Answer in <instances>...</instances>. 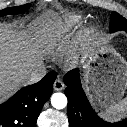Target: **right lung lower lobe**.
I'll return each instance as SVG.
<instances>
[{"instance_id":"right-lung-lower-lobe-1","label":"right lung lower lobe","mask_w":127,"mask_h":127,"mask_svg":"<svg viewBox=\"0 0 127 127\" xmlns=\"http://www.w3.org/2000/svg\"><path fill=\"white\" fill-rule=\"evenodd\" d=\"M56 76V72H49L38 83L22 88L0 104V127H36L40 111L52 94Z\"/></svg>"}]
</instances>
